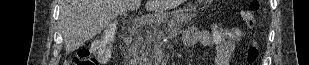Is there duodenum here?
Segmentation results:
<instances>
[{
	"label": "duodenum",
	"instance_id": "410a0bca",
	"mask_svg": "<svg viewBox=\"0 0 309 65\" xmlns=\"http://www.w3.org/2000/svg\"><path fill=\"white\" fill-rule=\"evenodd\" d=\"M152 22L151 18L149 16H141L135 19L132 22V25L130 27V32L131 33H137L141 28L147 26Z\"/></svg>",
	"mask_w": 309,
	"mask_h": 65
}]
</instances>
